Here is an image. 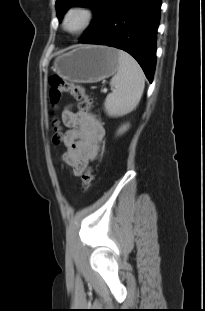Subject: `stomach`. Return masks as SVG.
<instances>
[{
    "instance_id": "obj_1",
    "label": "stomach",
    "mask_w": 205,
    "mask_h": 311,
    "mask_svg": "<svg viewBox=\"0 0 205 311\" xmlns=\"http://www.w3.org/2000/svg\"><path fill=\"white\" fill-rule=\"evenodd\" d=\"M119 68L118 50L101 45H82L61 54L53 62V71L74 83H96L114 75Z\"/></svg>"
}]
</instances>
